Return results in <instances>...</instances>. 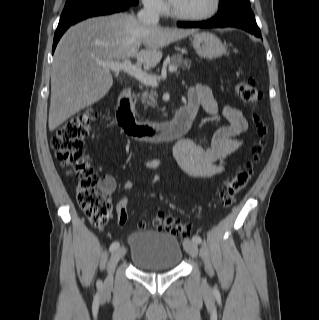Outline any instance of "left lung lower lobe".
I'll return each instance as SVG.
<instances>
[{"label":"left lung lower lobe","mask_w":319,"mask_h":320,"mask_svg":"<svg viewBox=\"0 0 319 320\" xmlns=\"http://www.w3.org/2000/svg\"><path fill=\"white\" fill-rule=\"evenodd\" d=\"M177 25L183 28L235 27L261 37L260 29L257 26L251 8L237 7L218 11L210 20L203 22H178Z\"/></svg>","instance_id":"obj_1"}]
</instances>
